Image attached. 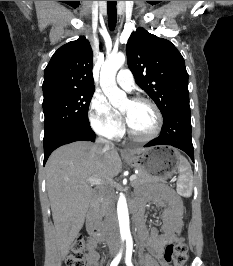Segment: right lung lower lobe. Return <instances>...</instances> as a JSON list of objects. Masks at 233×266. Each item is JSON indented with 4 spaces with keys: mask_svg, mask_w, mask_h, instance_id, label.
I'll return each instance as SVG.
<instances>
[{
    "mask_svg": "<svg viewBox=\"0 0 233 266\" xmlns=\"http://www.w3.org/2000/svg\"><path fill=\"white\" fill-rule=\"evenodd\" d=\"M95 141V133L90 125H77L63 128L44 137V164L56 148L74 141Z\"/></svg>",
    "mask_w": 233,
    "mask_h": 266,
    "instance_id": "right-lung-lower-lobe-1",
    "label": "right lung lower lobe"
}]
</instances>
